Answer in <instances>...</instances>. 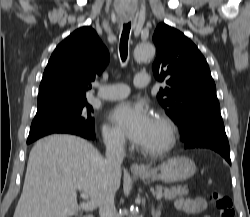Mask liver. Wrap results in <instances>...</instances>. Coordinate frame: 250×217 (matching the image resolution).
<instances>
[{
    "label": "liver",
    "mask_w": 250,
    "mask_h": 217,
    "mask_svg": "<svg viewBox=\"0 0 250 217\" xmlns=\"http://www.w3.org/2000/svg\"><path fill=\"white\" fill-rule=\"evenodd\" d=\"M104 160L91 143L77 136L52 135L37 141L13 217H69L94 210L108 190ZM120 178L114 180L116 190ZM76 190L85 202L78 204Z\"/></svg>",
    "instance_id": "liver-1"
}]
</instances>
